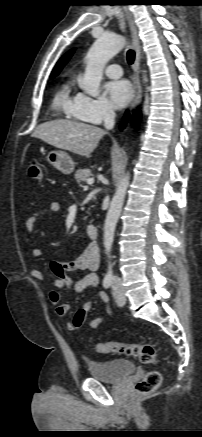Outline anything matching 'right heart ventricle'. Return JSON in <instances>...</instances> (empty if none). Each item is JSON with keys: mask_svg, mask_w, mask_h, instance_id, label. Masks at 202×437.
<instances>
[{"mask_svg": "<svg viewBox=\"0 0 202 437\" xmlns=\"http://www.w3.org/2000/svg\"><path fill=\"white\" fill-rule=\"evenodd\" d=\"M77 95L72 94V83L67 81L62 84L56 92L53 105L56 109L63 111L71 118L82 120L75 111V102Z\"/></svg>", "mask_w": 202, "mask_h": 437, "instance_id": "obj_1", "label": "right heart ventricle"}]
</instances>
